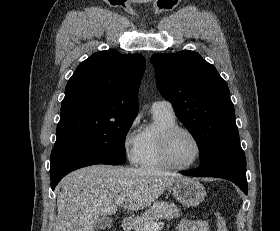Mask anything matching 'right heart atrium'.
<instances>
[{
    "mask_svg": "<svg viewBox=\"0 0 280 231\" xmlns=\"http://www.w3.org/2000/svg\"><path fill=\"white\" fill-rule=\"evenodd\" d=\"M137 120H132L122 135V146L126 158L132 164H138L143 145L142 133L137 131Z\"/></svg>",
    "mask_w": 280,
    "mask_h": 231,
    "instance_id": "right-heart-atrium-1",
    "label": "right heart atrium"
}]
</instances>
